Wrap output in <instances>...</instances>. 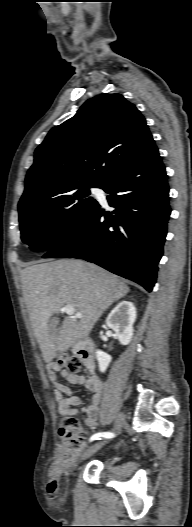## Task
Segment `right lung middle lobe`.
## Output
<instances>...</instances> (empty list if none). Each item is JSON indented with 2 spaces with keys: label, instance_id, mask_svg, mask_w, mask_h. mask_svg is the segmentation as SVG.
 I'll return each mask as SVG.
<instances>
[{
  "label": "right lung middle lobe",
  "instance_id": "dd1d6c3e",
  "mask_svg": "<svg viewBox=\"0 0 192 527\" xmlns=\"http://www.w3.org/2000/svg\"><path fill=\"white\" fill-rule=\"evenodd\" d=\"M82 184L54 197L18 206L21 239L36 252L49 251L73 234L89 217L97 201Z\"/></svg>",
  "mask_w": 192,
  "mask_h": 527
}]
</instances>
